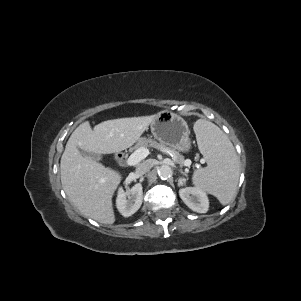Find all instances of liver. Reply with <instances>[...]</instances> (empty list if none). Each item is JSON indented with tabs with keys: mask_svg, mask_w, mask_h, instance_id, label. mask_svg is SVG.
I'll return each instance as SVG.
<instances>
[{
	"mask_svg": "<svg viewBox=\"0 0 301 301\" xmlns=\"http://www.w3.org/2000/svg\"><path fill=\"white\" fill-rule=\"evenodd\" d=\"M154 118L155 115L107 120L94 129L84 122L72 133L61 157V183L83 215L102 224H113L112 197L122 177L81 155L79 148L97 155L118 153L137 142Z\"/></svg>",
	"mask_w": 301,
	"mask_h": 301,
	"instance_id": "obj_1",
	"label": "liver"
}]
</instances>
